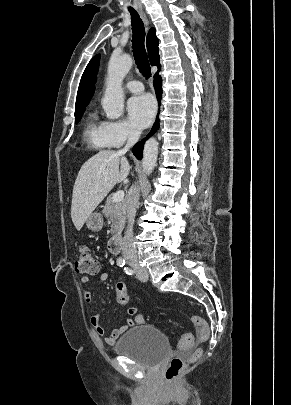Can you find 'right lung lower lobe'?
Listing matches in <instances>:
<instances>
[{"mask_svg": "<svg viewBox=\"0 0 291 405\" xmlns=\"http://www.w3.org/2000/svg\"><path fill=\"white\" fill-rule=\"evenodd\" d=\"M154 88H155V92H156V97H157L158 103H160V99H161V96H162V78H161V76L158 75V73H156L155 76H154ZM156 122H159L158 116H157ZM158 127H159L158 124L155 123L154 126H153V128H152V130H151V132L148 134L147 137H150V136L156 131V129H157ZM145 140H146V138L143 139L141 142H138V143L133 147V154H134V155L136 156V158L139 159V160H140V159L142 158V156H143V144H144V141H145Z\"/></svg>", "mask_w": 291, "mask_h": 405, "instance_id": "98d812e1", "label": "right lung lower lobe"}]
</instances>
